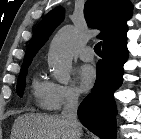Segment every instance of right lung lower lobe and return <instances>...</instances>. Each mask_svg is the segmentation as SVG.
Segmentation results:
<instances>
[{
  "mask_svg": "<svg viewBox=\"0 0 141 139\" xmlns=\"http://www.w3.org/2000/svg\"><path fill=\"white\" fill-rule=\"evenodd\" d=\"M127 58L126 37L103 47L95 85L78 109L81 123L102 139L116 138L117 111L113 94L123 82V65Z\"/></svg>",
  "mask_w": 141,
  "mask_h": 139,
  "instance_id": "98d812e1",
  "label": "right lung lower lobe"
}]
</instances>
